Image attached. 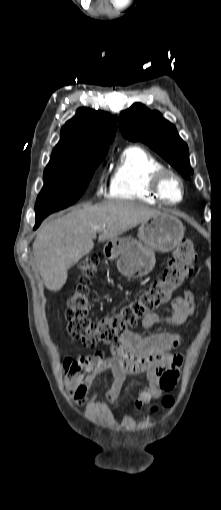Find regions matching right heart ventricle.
I'll use <instances>...</instances> for the list:
<instances>
[{
	"label": "right heart ventricle",
	"mask_w": 221,
	"mask_h": 510,
	"mask_svg": "<svg viewBox=\"0 0 221 510\" xmlns=\"http://www.w3.org/2000/svg\"><path fill=\"white\" fill-rule=\"evenodd\" d=\"M162 168H165L163 162L145 148L138 145L126 147L112 170L108 198L157 203L149 183L152 174Z\"/></svg>",
	"instance_id": "e07e8e85"
}]
</instances>
